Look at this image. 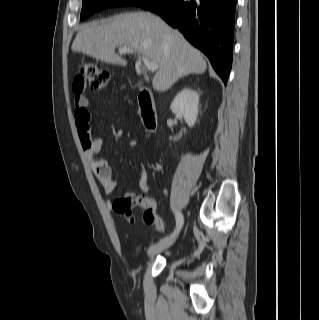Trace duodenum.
<instances>
[{
    "label": "duodenum",
    "mask_w": 319,
    "mask_h": 320,
    "mask_svg": "<svg viewBox=\"0 0 319 320\" xmlns=\"http://www.w3.org/2000/svg\"><path fill=\"white\" fill-rule=\"evenodd\" d=\"M138 102L144 125L150 132H155L157 128L155 105L152 93L147 87L141 88L138 95Z\"/></svg>",
    "instance_id": "1"
}]
</instances>
